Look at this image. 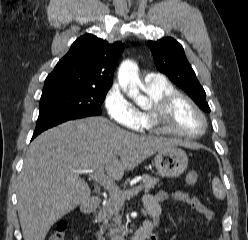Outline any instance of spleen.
I'll return each mask as SVG.
<instances>
[{"instance_id":"1","label":"spleen","mask_w":248,"mask_h":240,"mask_svg":"<svg viewBox=\"0 0 248 240\" xmlns=\"http://www.w3.org/2000/svg\"><path fill=\"white\" fill-rule=\"evenodd\" d=\"M212 189H213V193L215 195L216 198L218 199H224L225 197V192L224 189L222 187L221 181L219 178L215 177L212 181Z\"/></svg>"}]
</instances>
